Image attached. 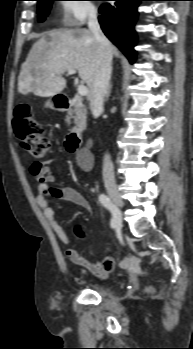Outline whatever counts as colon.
Wrapping results in <instances>:
<instances>
[{
	"label": "colon",
	"mask_w": 193,
	"mask_h": 349,
	"mask_svg": "<svg viewBox=\"0 0 193 349\" xmlns=\"http://www.w3.org/2000/svg\"><path fill=\"white\" fill-rule=\"evenodd\" d=\"M13 129L21 147L34 158L41 159L50 152V140L29 106L20 105L16 109Z\"/></svg>",
	"instance_id": "colon-1"
}]
</instances>
